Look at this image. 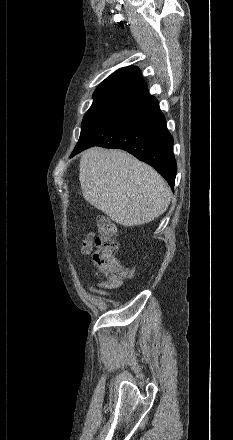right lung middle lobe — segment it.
I'll list each match as a JSON object with an SVG mask.
<instances>
[{"mask_svg":"<svg viewBox=\"0 0 233 440\" xmlns=\"http://www.w3.org/2000/svg\"><path fill=\"white\" fill-rule=\"evenodd\" d=\"M123 106L124 104L113 102L93 103L83 118L79 141L98 129Z\"/></svg>","mask_w":233,"mask_h":440,"instance_id":"obj_1","label":"right lung middle lobe"}]
</instances>
